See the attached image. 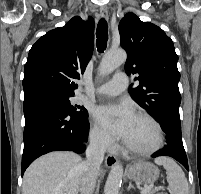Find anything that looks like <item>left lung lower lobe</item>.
I'll use <instances>...</instances> for the list:
<instances>
[{
    "label": "left lung lower lobe",
    "mask_w": 201,
    "mask_h": 194,
    "mask_svg": "<svg viewBox=\"0 0 201 194\" xmlns=\"http://www.w3.org/2000/svg\"><path fill=\"white\" fill-rule=\"evenodd\" d=\"M157 120L167 135V144L163 149L157 151L152 156H170L179 161L188 170L187 156L182 143L179 113L162 112Z\"/></svg>",
    "instance_id": "0a47b994"
}]
</instances>
